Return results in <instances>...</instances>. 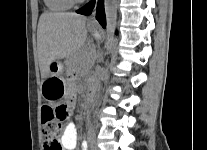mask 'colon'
Instances as JSON below:
<instances>
[{
  "instance_id": "obj_1",
  "label": "colon",
  "mask_w": 207,
  "mask_h": 150,
  "mask_svg": "<svg viewBox=\"0 0 207 150\" xmlns=\"http://www.w3.org/2000/svg\"><path fill=\"white\" fill-rule=\"evenodd\" d=\"M67 104H46L42 108V129L45 150H63L58 141L62 124L69 116Z\"/></svg>"
}]
</instances>
